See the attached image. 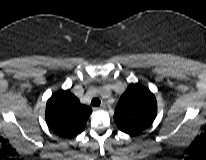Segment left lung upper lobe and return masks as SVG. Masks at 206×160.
I'll return each mask as SVG.
<instances>
[{
	"label": "left lung upper lobe",
	"instance_id": "obj_1",
	"mask_svg": "<svg viewBox=\"0 0 206 160\" xmlns=\"http://www.w3.org/2000/svg\"><path fill=\"white\" fill-rule=\"evenodd\" d=\"M157 114L154 94L141 84H130L115 109L114 120L124 133L135 136L151 126Z\"/></svg>",
	"mask_w": 206,
	"mask_h": 160
}]
</instances>
